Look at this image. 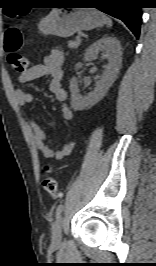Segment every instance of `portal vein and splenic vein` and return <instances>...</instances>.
I'll return each instance as SVG.
<instances>
[{"label": "portal vein and splenic vein", "instance_id": "1", "mask_svg": "<svg viewBox=\"0 0 156 266\" xmlns=\"http://www.w3.org/2000/svg\"><path fill=\"white\" fill-rule=\"evenodd\" d=\"M77 40H80V36L77 37Z\"/></svg>", "mask_w": 156, "mask_h": 266}]
</instances>
